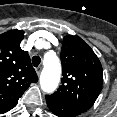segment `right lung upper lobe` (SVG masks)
Instances as JSON below:
<instances>
[{
    "label": "right lung upper lobe",
    "mask_w": 117,
    "mask_h": 117,
    "mask_svg": "<svg viewBox=\"0 0 117 117\" xmlns=\"http://www.w3.org/2000/svg\"><path fill=\"white\" fill-rule=\"evenodd\" d=\"M21 30L0 35V114L14 108L31 83L38 81L27 52L20 48Z\"/></svg>",
    "instance_id": "cb5924a9"
}]
</instances>
